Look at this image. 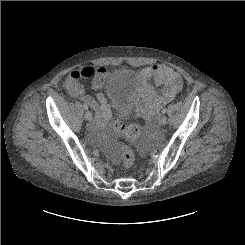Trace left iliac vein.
I'll return each mask as SVG.
<instances>
[{"instance_id": "1", "label": "left iliac vein", "mask_w": 245, "mask_h": 245, "mask_svg": "<svg viewBox=\"0 0 245 245\" xmlns=\"http://www.w3.org/2000/svg\"><path fill=\"white\" fill-rule=\"evenodd\" d=\"M160 124H162V125H166L167 123H168V120H167V117L166 116H162L161 118H160Z\"/></svg>"}]
</instances>
